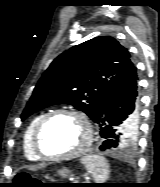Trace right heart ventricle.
I'll use <instances>...</instances> for the list:
<instances>
[{
	"mask_svg": "<svg viewBox=\"0 0 160 187\" xmlns=\"http://www.w3.org/2000/svg\"><path fill=\"white\" fill-rule=\"evenodd\" d=\"M45 115V113H40L36 115L27 125L23 138H22V149L24 156L31 161H39L41 157L36 153L34 146H33V134L34 130L41 120V118Z\"/></svg>",
	"mask_w": 160,
	"mask_h": 187,
	"instance_id": "right-heart-ventricle-1",
	"label": "right heart ventricle"
}]
</instances>
